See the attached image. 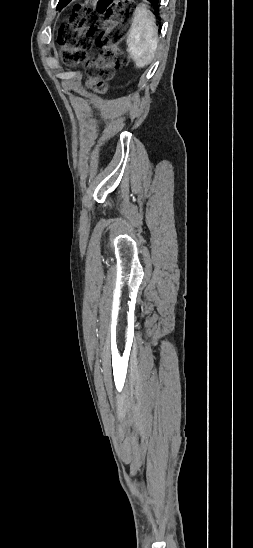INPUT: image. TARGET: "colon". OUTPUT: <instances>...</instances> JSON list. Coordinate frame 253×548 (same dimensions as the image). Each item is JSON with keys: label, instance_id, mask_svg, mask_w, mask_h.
I'll return each mask as SVG.
<instances>
[{"label": "colon", "instance_id": "1", "mask_svg": "<svg viewBox=\"0 0 253 548\" xmlns=\"http://www.w3.org/2000/svg\"><path fill=\"white\" fill-rule=\"evenodd\" d=\"M134 11L133 0H83L73 8L71 25L60 31L59 43L67 64L86 61L93 41L100 49L99 55L87 62L88 84L98 92H104L114 71L128 63L118 44L123 38V27ZM103 16L105 27L98 33Z\"/></svg>", "mask_w": 253, "mask_h": 548}]
</instances>
